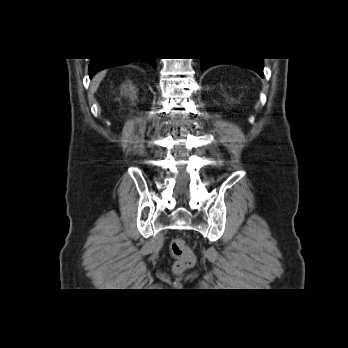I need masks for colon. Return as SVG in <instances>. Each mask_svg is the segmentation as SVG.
<instances>
[{
  "label": "colon",
  "mask_w": 348,
  "mask_h": 348,
  "mask_svg": "<svg viewBox=\"0 0 348 348\" xmlns=\"http://www.w3.org/2000/svg\"><path fill=\"white\" fill-rule=\"evenodd\" d=\"M170 250L172 256L176 259L174 264L175 272H183L194 264L195 257L183 239L176 238L172 240Z\"/></svg>",
  "instance_id": "5ec220e1"
}]
</instances>
